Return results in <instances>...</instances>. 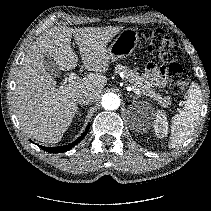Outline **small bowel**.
I'll list each match as a JSON object with an SVG mask.
<instances>
[{
	"label": "small bowel",
	"mask_w": 211,
	"mask_h": 211,
	"mask_svg": "<svg viewBox=\"0 0 211 211\" xmlns=\"http://www.w3.org/2000/svg\"><path fill=\"white\" fill-rule=\"evenodd\" d=\"M145 77L151 84L155 86H163L167 79L166 70L163 67L150 63L147 66Z\"/></svg>",
	"instance_id": "obj_1"
}]
</instances>
